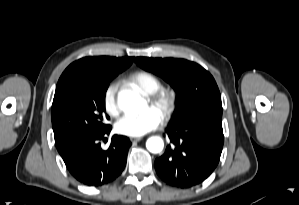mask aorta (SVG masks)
<instances>
[{
	"label": "aorta",
	"instance_id": "762f6f07",
	"mask_svg": "<svg viewBox=\"0 0 299 205\" xmlns=\"http://www.w3.org/2000/svg\"><path fill=\"white\" fill-rule=\"evenodd\" d=\"M118 106L119 108L128 113H135L139 111L143 105L144 100L137 93L132 92L131 90H123L118 94ZM164 142L158 136L150 137L146 142V148L151 153H159L163 150Z\"/></svg>",
	"mask_w": 299,
	"mask_h": 205
}]
</instances>
